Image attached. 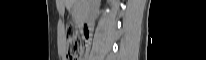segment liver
Instances as JSON below:
<instances>
[{"label":"liver","instance_id":"6515ba94","mask_svg":"<svg viewBox=\"0 0 206 60\" xmlns=\"http://www.w3.org/2000/svg\"><path fill=\"white\" fill-rule=\"evenodd\" d=\"M75 0H64L66 5H71L72 3H74Z\"/></svg>","mask_w":206,"mask_h":60}]
</instances>
